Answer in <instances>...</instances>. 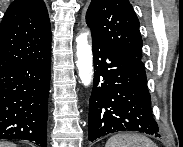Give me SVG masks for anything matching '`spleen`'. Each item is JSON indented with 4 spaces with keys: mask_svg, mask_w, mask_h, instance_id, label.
<instances>
[{
    "mask_svg": "<svg viewBox=\"0 0 183 147\" xmlns=\"http://www.w3.org/2000/svg\"><path fill=\"white\" fill-rule=\"evenodd\" d=\"M105 147H157V145L143 135L126 133L112 136Z\"/></svg>",
    "mask_w": 183,
    "mask_h": 147,
    "instance_id": "spleen-1",
    "label": "spleen"
}]
</instances>
